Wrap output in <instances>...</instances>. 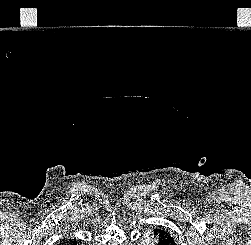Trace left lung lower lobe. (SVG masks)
Listing matches in <instances>:
<instances>
[{
  "label": "left lung lower lobe",
  "instance_id": "0a47b994",
  "mask_svg": "<svg viewBox=\"0 0 251 245\" xmlns=\"http://www.w3.org/2000/svg\"><path fill=\"white\" fill-rule=\"evenodd\" d=\"M154 243L155 245H176L172 235L163 228L154 230Z\"/></svg>",
  "mask_w": 251,
  "mask_h": 245
}]
</instances>
